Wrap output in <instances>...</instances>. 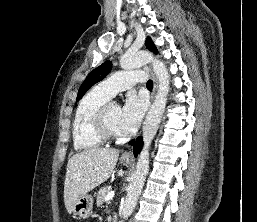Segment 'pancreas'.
Listing matches in <instances>:
<instances>
[{"instance_id": "pancreas-1", "label": "pancreas", "mask_w": 257, "mask_h": 222, "mask_svg": "<svg viewBox=\"0 0 257 222\" xmlns=\"http://www.w3.org/2000/svg\"><path fill=\"white\" fill-rule=\"evenodd\" d=\"M110 190H111L110 187H103L98 191L97 196H96V202H97L98 207L103 205V203L105 201V197L110 192Z\"/></svg>"}]
</instances>
